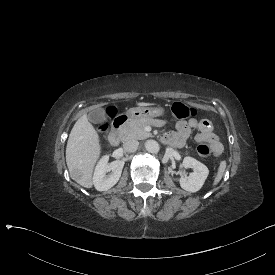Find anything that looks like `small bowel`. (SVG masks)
Returning a JSON list of instances; mask_svg holds the SVG:
<instances>
[{
  "mask_svg": "<svg viewBox=\"0 0 275 275\" xmlns=\"http://www.w3.org/2000/svg\"><path fill=\"white\" fill-rule=\"evenodd\" d=\"M193 129L198 130L195 136L197 142L209 143L212 146L215 156H219L222 153L223 146L213 132L211 122L206 119L202 121H197L196 119L188 122L180 121L177 124V132L175 134H169L165 140L170 144L179 145L189 136Z\"/></svg>",
  "mask_w": 275,
  "mask_h": 275,
  "instance_id": "c3829d8e",
  "label": "small bowel"
}]
</instances>
